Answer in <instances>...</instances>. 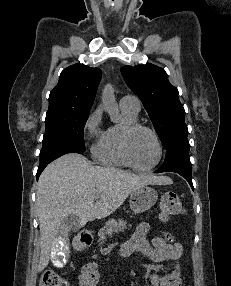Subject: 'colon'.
Segmentation results:
<instances>
[{"mask_svg": "<svg viewBox=\"0 0 231 286\" xmlns=\"http://www.w3.org/2000/svg\"><path fill=\"white\" fill-rule=\"evenodd\" d=\"M183 205L175 192H166L160 201V218L167 221L174 216L182 214ZM39 286H70L69 283L58 273L45 271L39 280Z\"/></svg>", "mask_w": 231, "mask_h": 286, "instance_id": "1", "label": "colon"}]
</instances>
